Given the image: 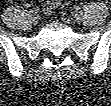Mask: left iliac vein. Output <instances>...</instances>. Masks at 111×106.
Masks as SVG:
<instances>
[{
  "label": "left iliac vein",
  "instance_id": "left-iliac-vein-1",
  "mask_svg": "<svg viewBox=\"0 0 111 106\" xmlns=\"http://www.w3.org/2000/svg\"><path fill=\"white\" fill-rule=\"evenodd\" d=\"M73 18H74V20H76V21H78V20H80V16L78 15V14H73Z\"/></svg>",
  "mask_w": 111,
  "mask_h": 106
}]
</instances>
